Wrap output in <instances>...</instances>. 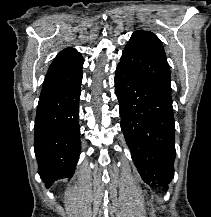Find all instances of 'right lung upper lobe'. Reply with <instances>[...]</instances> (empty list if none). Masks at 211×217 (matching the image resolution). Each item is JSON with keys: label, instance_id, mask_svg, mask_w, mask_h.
<instances>
[{"label": "right lung upper lobe", "instance_id": "cb5924a9", "mask_svg": "<svg viewBox=\"0 0 211 217\" xmlns=\"http://www.w3.org/2000/svg\"><path fill=\"white\" fill-rule=\"evenodd\" d=\"M83 58L74 48L61 51L51 63L42 86V94L75 81L82 72Z\"/></svg>", "mask_w": 211, "mask_h": 217}]
</instances>
